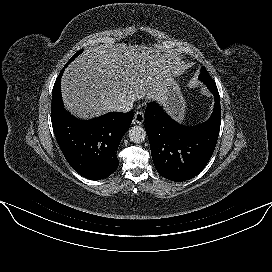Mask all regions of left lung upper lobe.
I'll list each match as a JSON object with an SVG mask.
<instances>
[{
	"label": "left lung upper lobe",
	"mask_w": 272,
	"mask_h": 272,
	"mask_svg": "<svg viewBox=\"0 0 272 272\" xmlns=\"http://www.w3.org/2000/svg\"><path fill=\"white\" fill-rule=\"evenodd\" d=\"M199 79L204 82L212 81V79H211L210 75L208 74V72L206 71L205 67L201 68V73H200Z\"/></svg>",
	"instance_id": "obj_1"
}]
</instances>
